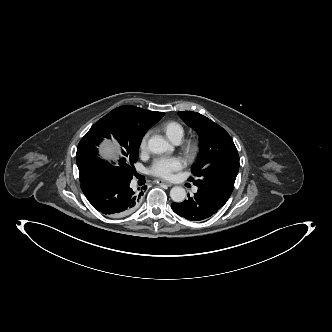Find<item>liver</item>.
Instances as JSON below:
<instances>
[{
    "instance_id": "6515ba94",
    "label": "liver",
    "mask_w": 332,
    "mask_h": 332,
    "mask_svg": "<svg viewBox=\"0 0 332 332\" xmlns=\"http://www.w3.org/2000/svg\"><path fill=\"white\" fill-rule=\"evenodd\" d=\"M114 149L115 148L113 146H110L109 144H104L101 151L106 157H114Z\"/></svg>"
}]
</instances>
